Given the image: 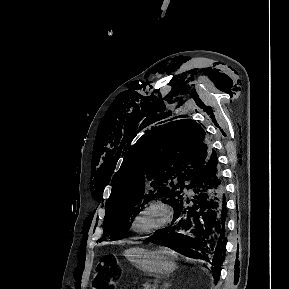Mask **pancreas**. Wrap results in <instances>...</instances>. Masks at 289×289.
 <instances>
[{
    "label": "pancreas",
    "mask_w": 289,
    "mask_h": 289,
    "mask_svg": "<svg viewBox=\"0 0 289 289\" xmlns=\"http://www.w3.org/2000/svg\"><path fill=\"white\" fill-rule=\"evenodd\" d=\"M143 289H154V285H151V284H149V283H145V284L143 285Z\"/></svg>",
    "instance_id": "pancreas-1"
}]
</instances>
